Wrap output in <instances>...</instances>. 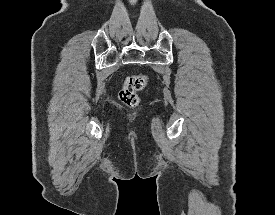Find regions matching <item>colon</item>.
<instances>
[{
    "mask_svg": "<svg viewBox=\"0 0 275 215\" xmlns=\"http://www.w3.org/2000/svg\"><path fill=\"white\" fill-rule=\"evenodd\" d=\"M148 84V78L143 74L131 75L126 78L119 92L120 100L128 107H135L139 103L138 92Z\"/></svg>",
    "mask_w": 275,
    "mask_h": 215,
    "instance_id": "5ec220e1",
    "label": "colon"
}]
</instances>
